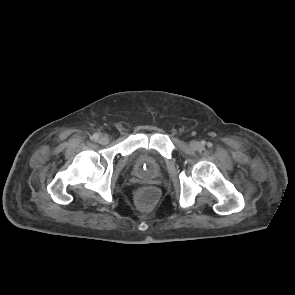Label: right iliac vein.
Wrapping results in <instances>:
<instances>
[{
	"label": "right iliac vein",
	"mask_w": 295,
	"mask_h": 295,
	"mask_svg": "<svg viewBox=\"0 0 295 295\" xmlns=\"http://www.w3.org/2000/svg\"><path fill=\"white\" fill-rule=\"evenodd\" d=\"M99 143L100 144H108L109 143V137L107 135H102L100 138H99Z\"/></svg>",
	"instance_id": "1"
}]
</instances>
